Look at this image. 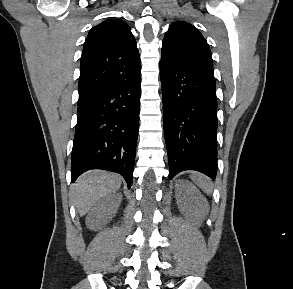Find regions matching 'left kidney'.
Wrapping results in <instances>:
<instances>
[{
  "instance_id": "obj_1",
  "label": "left kidney",
  "mask_w": 293,
  "mask_h": 289,
  "mask_svg": "<svg viewBox=\"0 0 293 289\" xmlns=\"http://www.w3.org/2000/svg\"><path fill=\"white\" fill-rule=\"evenodd\" d=\"M177 203L182 212L185 211V205L192 211L198 220L204 219L209 210V205L204 196L191 183L178 180L176 182Z\"/></svg>"
}]
</instances>
